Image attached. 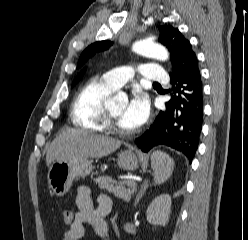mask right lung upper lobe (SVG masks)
I'll use <instances>...</instances> for the list:
<instances>
[{"mask_svg":"<svg viewBox=\"0 0 248 240\" xmlns=\"http://www.w3.org/2000/svg\"><path fill=\"white\" fill-rule=\"evenodd\" d=\"M84 73H85V70H83V71L76 77L75 81H78V80L83 76ZM75 81H74V82H75Z\"/></svg>","mask_w":248,"mask_h":240,"instance_id":"right-lung-upper-lobe-1","label":"right lung upper lobe"}]
</instances>
